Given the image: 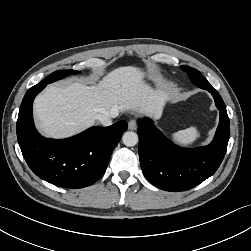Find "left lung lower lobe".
Returning a JSON list of instances; mask_svg holds the SVG:
<instances>
[{"label": "left lung lower lobe", "mask_w": 251, "mask_h": 251, "mask_svg": "<svg viewBox=\"0 0 251 251\" xmlns=\"http://www.w3.org/2000/svg\"><path fill=\"white\" fill-rule=\"evenodd\" d=\"M209 91L220 111V122L213 141L204 147L181 148L161 134L151 120L139 119V158L146 179L166 191L178 192L194 188L213 175L226 153L230 123L226 106L209 82L199 84Z\"/></svg>", "instance_id": "obj_1"}]
</instances>
